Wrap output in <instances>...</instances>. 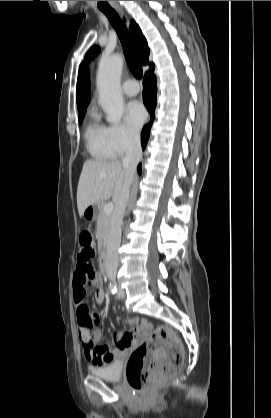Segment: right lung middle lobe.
Instances as JSON below:
<instances>
[{
	"label": "right lung middle lobe",
	"instance_id": "right-lung-middle-lobe-1",
	"mask_svg": "<svg viewBox=\"0 0 271 418\" xmlns=\"http://www.w3.org/2000/svg\"><path fill=\"white\" fill-rule=\"evenodd\" d=\"M83 116H84V114L79 115V123H80V124L82 123Z\"/></svg>",
	"mask_w": 271,
	"mask_h": 418
}]
</instances>
